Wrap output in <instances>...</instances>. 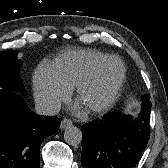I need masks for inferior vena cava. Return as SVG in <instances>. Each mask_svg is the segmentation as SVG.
<instances>
[{"label": "inferior vena cava", "instance_id": "obj_1", "mask_svg": "<svg viewBox=\"0 0 168 168\" xmlns=\"http://www.w3.org/2000/svg\"><path fill=\"white\" fill-rule=\"evenodd\" d=\"M36 113L44 116H53L58 113L60 106L53 102L40 101L35 104Z\"/></svg>", "mask_w": 168, "mask_h": 168}]
</instances>
